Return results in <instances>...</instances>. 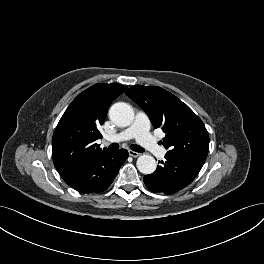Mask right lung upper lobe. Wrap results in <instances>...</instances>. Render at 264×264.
<instances>
[{
	"instance_id": "right-lung-upper-lobe-1",
	"label": "right lung upper lobe",
	"mask_w": 264,
	"mask_h": 264,
	"mask_svg": "<svg viewBox=\"0 0 264 264\" xmlns=\"http://www.w3.org/2000/svg\"><path fill=\"white\" fill-rule=\"evenodd\" d=\"M127 89L119 84H95L80 93L60 119L52 139L53 162L60 175L109 151L95 141L109 105Z\"/></svg>"
}]
</instances>
